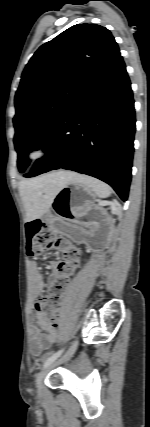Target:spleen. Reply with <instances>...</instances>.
<instances>
[{"mask_svg":"<svg viewBox=\"0 0 150 427\" xmlns=\"http://www.w3.org/2000/svg\"><path fill=\"white\" fill-rule=\"evenodd\" d=\"M75 180L91 188L99 198H107L111 195V188L98 179L77 174Z\"/></svg>","mask_w":150,"mask_h":427,"instance_id":"3e777b00","label":"spleen"}]
</instances>
